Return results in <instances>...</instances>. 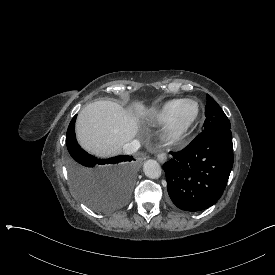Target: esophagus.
Segmentation results:
<instances>
[{"label":"esophagus","mask_w":275,"mask_h":275,"mask_svg":"<svg viewBox=\"0 0 275 275\" xmlns=\"http://www.w3.org/2000/svg\"><path fill=\"white\" fill-rule=\"evenodd\" d=\"M143 157H144V159L147 158L146 155H143ZM158 160H159L160 162H165V161L167 160L166 154H164V153L159 154V155H158Z\"/></svg>","instance_id":"obj_1"}]
</instances>
